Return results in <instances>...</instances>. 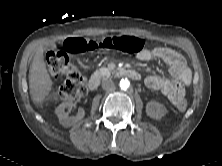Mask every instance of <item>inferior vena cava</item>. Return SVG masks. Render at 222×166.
I'll return each mask as SVG.
<instances>
[{"label":"inferior vena cava","instance_id":"obj_1","mask_svg":"<svg viewBox=\"0 0 222 166\" xmlns=\"http://www.w3.org/2000/svg\"><path fill=\"white\" fill-rule=\"evenodd\" d=\"M102 88L106 91H112L115 89V84L111 79H106L102 81Z\"/></svg>","mask_w":222,"mask_h":166}]
</instances>
